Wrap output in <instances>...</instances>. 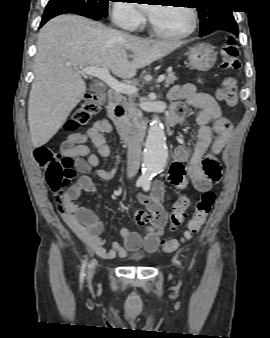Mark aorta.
<instances>
[{
  "mask_svg": "<svg viewBox=\"0 0 270 338\" xmlns=\"http://www.w3.org/2000/svg\"><path fill=\"white\" fill-rule=\"evenodd\" d=\"M167 148L164 127L159 117L155 116L150 124L144 151L143 178L162 172L167 165Z\"/></svg>",
  "mask_w": 270,
  "mask_h": 338,
  "instance_id": "obj_1",
  "label": "aorta"
}]
</instances>
